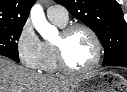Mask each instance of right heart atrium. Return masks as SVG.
<instances>
[{"label":"right heart atrium","mask_w":127,"mask_h":92,"mask_svg":"<svg viewBox=\"0 0 127 92\" xmlns=\"http://www.w3.org/2000/svg\"><path fill=\"white\" fill-rule=\"evenodd\" d=\"M16 50L21 64L31 70H40L44 61L43 42L32 25L26 23L16 39Z\"/></svg>","instance_id":"right-heart-atrium-1"}]
</instances>
